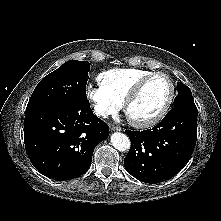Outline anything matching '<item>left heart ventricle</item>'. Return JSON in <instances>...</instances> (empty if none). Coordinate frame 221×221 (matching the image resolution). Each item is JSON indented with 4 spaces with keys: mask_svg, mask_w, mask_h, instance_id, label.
I'll return each mask as SVG.
<instances>
[{
    "mask_svg": "<svg viewBox=\"0 0 221 221\" xmlns=\"http://www.w3.org/2000/svg\"><path fill=\"white\" fill-rule=\"evenodd\" d=\"M169 92L170 86L164 76L152 78L130 105L128 116L134 120H146L155 116L164 106Z\"/></svg>",
    "mask_w": 221,
    "mask_h": 221,
    "instance_id": "obj_1",
    "label": "left heart ventricle"
}]
</instances>
